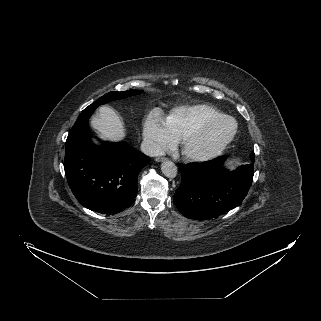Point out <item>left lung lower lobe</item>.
Wrapping results in <instances>:
<instances>
[{"instance_id":"obj_1","label":"left lung lower lobe","mask_w":321,"mask_h":321,"mask_svg":"<svg viewBox=\"0 0 321 321\" xmlns=\"http://www.w3.org/2000/svg\"><path fill=\"white\" fill-rule=\"evenodd\" d=\"M250 158L234 171L223 168L224 156L186 164L174 194L178 210L187 218L208 220L240 205L253 181L255 154Z\"/></svg>"}]
</instances>
